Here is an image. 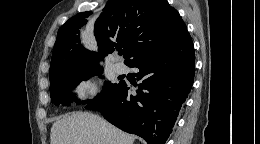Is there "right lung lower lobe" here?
<instances>
[{
    "label": "right lung lower lobe",
    "instance_id": "98d812e1",
    "mask_svg": "<svg viewBox=\"0 0 260 144\" xmlns=\"http://www.w3.org/2000/svg\"><path fill=\"white\" fill-rule=\"evenodd\" d=\"M139 68L136 93L120 81L105 96L86 105L113 125L148 144H165L194 81L195 55L187 33L175 43L143 54L127 64Z\"/></svg>",
    "mask_w": 260,
    "mask_h": 144
}]
</instances>
